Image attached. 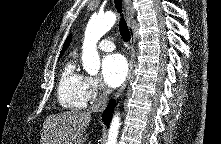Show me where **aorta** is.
Returning a JSON list of instances; mask_svg holds the SVG:
<instances>
[{
  "instance_id": "aorta-1",
  "label": "aorta",
  "mask_w": 221,
  "mask_h": 144,
  "mask_svg": "<svg viewBox=\"0 0 221 144\" xmlns=\"http://www.w3.org/2000/svg\"><path fill=\"white\" fill-rule=\"evenodd\" d=\"M116 15L107 12L102 15L92 16L89 20L82 46V64L90 75H96L100 69V57L97 51V43L115 24ZM120 128L119 114H115L108 132L107 144H116Z\"/></svg>"
}]
</instances>
